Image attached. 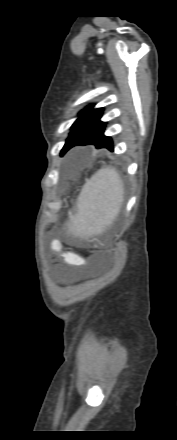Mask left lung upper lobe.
<instances>
[{
    "mask_svg": "<svg viewBox=\"0 0 177 440\" xmlns=\"http://www.w3.org/2000/svg\"><path fill=\"white\" fill-rule=\"evenodd\" d=\"M93 106H87L78 114L79 117L73 123L69 137L61 150V156L87 135L106 124V122L100 121L103 108L94 109Z\"/></svg>",
    "mask_w": 177,
    "mask_h": 440,
    "instance_id": "1",
    "label": "left lung upper lobe"
}]
</instances>
